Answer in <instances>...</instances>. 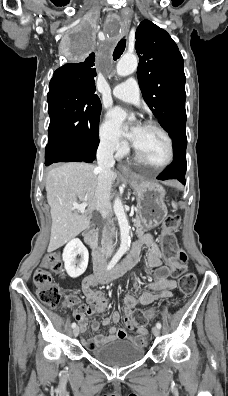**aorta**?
<instances>
[{
  "label": "aorta",
  "mask_w": 228,
  "mask_h": 396,
  "mask_svg": "<svg viewBox=\"0 0 228 396\" xmlns=\"http://www.w3.org/2000/svg\"><path fill=\"white\" fill-rule=\"evenodd\" d=\"M137 66L138 60L135 55H124L117 63L116 71L119 76H128L137 69ZM113 210L120 228V250L128 251L131 243L130 225L119 197L114 201Z\"/></svg>",
  "instance_id": "1"
}]
</instances>
